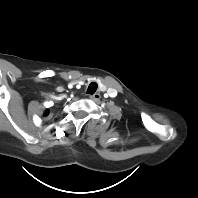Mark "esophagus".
<instances>
[{
  "label": "esophagus",
  "mask_w": 198,
  "mask_h": 198,
  "mask_svg": "<svg viewBox=\"0 0 198 198\" xmlns=\"http://www.w3.org/2000/svg\"><path fill=\"white\" fill-rule=\"evenodd\" d=\"M101 98V95L99 93H95L93 95H90V99H92L95 102H98Z\"/></svg>",
  "instance_id": "1"
}]
</instances>
